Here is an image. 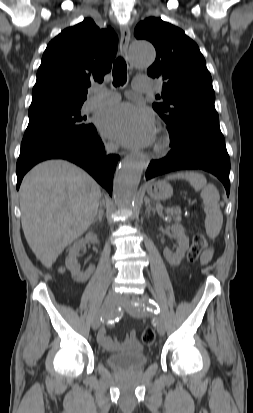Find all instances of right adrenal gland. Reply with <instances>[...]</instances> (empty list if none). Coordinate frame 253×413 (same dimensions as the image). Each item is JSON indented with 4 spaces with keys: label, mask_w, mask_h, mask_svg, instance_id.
Segmentation results:
<instances>
[{
    "label": "right adrenal gland",
    "mask_w": 253,
    "mask_h": 413,
    "mask_svg": "<svg viewBox=\"0 0 253 413\" xmlns=\"http://www.w3.org/2000/svg\"><path fill=\"white\" fill-rule=\"evenodd\" d=\"M102 218H103V210L101 209V210H99L98 215L96 216V218L93 220V223H95L97 221L101 222Z\"/></svg>",
    "instance_id": "1"
}]
</instances>
